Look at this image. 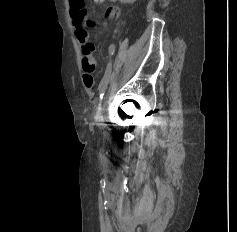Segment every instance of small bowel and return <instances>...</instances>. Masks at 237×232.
Returning a JSON list of instances; mask_svg holds the SVG:
<instances>
[{"instance_id": "small-bowel-1", "label": "small bowel", "mask_w": 237, "mask_h": 232, "mask_svg": "<svg viewBox=\"0 0 237 232\" xmlns=\"http://www.w3.org/2000/svg\"><path fill=\"white\" fill-rule=\"evenodd\" d=\"M93 3L99 4L105 0H91ZM116 11L115 17H118V9L113 8ZM78 41L81 43L82 51V68H83V82L87 88H91L94 85V71H95V60L93 57L94 45L88 41L87 38L83 39L77 35Z\"/></svg>"}]
</instances>
